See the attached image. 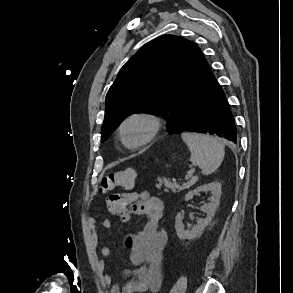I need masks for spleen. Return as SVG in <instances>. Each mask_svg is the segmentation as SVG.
<instances>
[{"instance_id":"3e777b00","label":"spleen","mask_w":293,"mask_h":293,"mask_svg":"<svg viewBox=\"0 0 293 293\" xmlns=\"http://www.w3.org/2000/svg\"><path fill=\"white\" fill-rule=\"evenodd\" d=\"M181 137L191 152L190 161L199 166L203 174H211L221 165L225 152L218 138L189 132H183Z\"/></svg>"}]
</instances>
